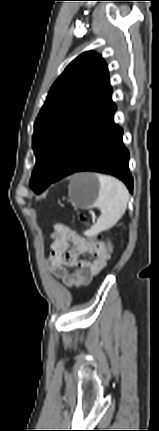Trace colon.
<instances>
[{
  "label": "colon",
  "instance_id": "colon-1",
  "mask_svg": "<svg viewBox=\"0 0 159 431\" xmlns=\"http://www.w3.org/2000/svg\"><path fill=\"white\" fill-rule=\"evenodd\" d=\"M82 222L85 224V225H87V221H86V219H82ZM102 233L100 232L99 233V235H96V237H95V242H99V240H102ZM103 244H106V246H107V251H106V253H110V255L112 256V245H111V243L110 242H107V243H103Z\"/></svg>",
  "mask_w": 159,
  "mask_h": 431
}]
</instances>
